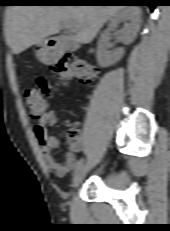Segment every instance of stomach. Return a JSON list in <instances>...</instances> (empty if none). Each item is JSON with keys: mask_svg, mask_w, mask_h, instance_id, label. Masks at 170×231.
Returning a JSON list of instances; mask_svg holds the SVG:
<instances>
[{"mask_svg": "<svg viewBox=\"0 0 170 231\" xmlns=\"http://www.w3.org/2000/svg\"><path fill=\"white\" fill-rule=\"evenodd\" d=\"M38 59L44 63L52 61L50 50L46 47L45 43H42L40 49L36 51Z\"/></svg>", "mask_w": 170, "mask_h": 231, "instance_id": "stomach-1", "label": "stomach"}]
</instances>
